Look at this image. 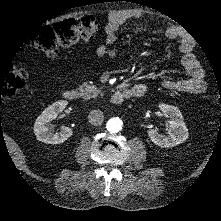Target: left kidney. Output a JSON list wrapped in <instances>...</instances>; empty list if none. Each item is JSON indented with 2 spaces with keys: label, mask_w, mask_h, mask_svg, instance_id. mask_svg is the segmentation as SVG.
<instances>
[{
  "label": "left kidney",
  "mask_w": 221,
  "mask_h": 221,
  "mask_svg": "<svg viewBox=\"0 0 221 221\" xmlns=\"http://www.w3.org/2000/svg\"><path fill=\"white\" fill-rule=\"evenodd\" d=\"M159 109L165 117L170 119L167 126V135L160 134L156 129H150L148 130V136L151 141L163 148L174 147L185 142L189 133L178 107L160 103Z\"/></svg>",
  "instance_id": "left-kidney-1"
}]
</instances>
